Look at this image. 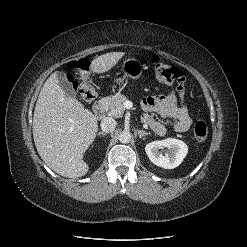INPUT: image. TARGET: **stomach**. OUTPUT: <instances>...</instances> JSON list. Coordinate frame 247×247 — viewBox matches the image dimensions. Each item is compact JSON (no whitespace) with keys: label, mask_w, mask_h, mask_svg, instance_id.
<instances>
[{"label":"stomach","mask_w":247,"mask_h":247,"mask_svg":"<svg viewBox=\"0 0 247 247\" xmlns=\"http://www.w3.org/2000/svg\"><path fill=\"white\" fill-rule=\"evenodd\" d=\"M144 69L145 65H143L138 59H125L121 66L122 78L137 80L143 75Z\"/></svg>","instance_id":"1"}]
</instances>
